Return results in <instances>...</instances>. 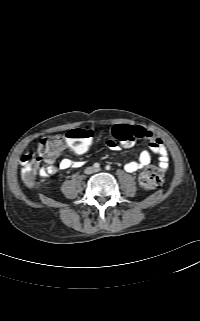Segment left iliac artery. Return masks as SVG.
I'll return each instance as SVG.
<instances>
[{"instance_id": "obj_1", "label": "left iliac artery", "mask_w": 200, "mask_h": 321, "mask_svg": "<svg viewBox=\"0 0 200 321\" xmlns=\"http://www.w3.org/2000/svg\"><path fill=\"white\" fill-rule=\"evenodd\" d=\"M105 168H106V170H110L111 167L109 165H107Z\"/></svg>"}]
</instances>
